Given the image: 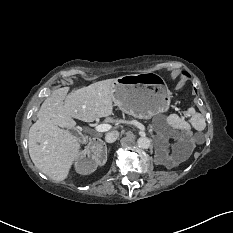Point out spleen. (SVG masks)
I'll return each mask as SVG.
<instances>
[{"label":"spleen","instance_id":"obj_1","mask_svg":"<svg viewBox=\"0 0 233 233\" xmlns=\"http://www.w3.org/2000/svg\"><path fill=\"white\" fill-rule=\"evenodd\" d=\"M186 114L191 116L189 121L190 123L185 121L183 118H180L177 114H170L166 118V122L170 127L182 131H190L191 125L198 131H202L205 128L206 123L204 117L200 113L196 112L193 107L189 108L186 111Z\"/></svg>","mask_w":233,"mask_h":233}]
</instances>
